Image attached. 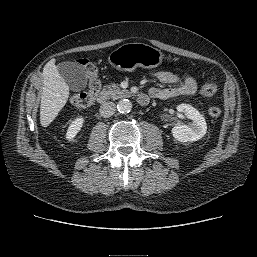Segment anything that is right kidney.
<instances>
[{"label": "right kidney", "mask_w": 257, "mask_h": 257, "mask_svg": "<svg viewBox=\"0 0 257 257\" xmlns=\"http://www.w3.org/2000/svg\"><path fill=\"white\" fill-rule=\"evenodd\" d=\"M84 123V118L78 117L76 118L68 127L66 138L68 140H73L77 133L81 130Z\"/></svg>", "instance_id": "obj_1"}]
</instances>
